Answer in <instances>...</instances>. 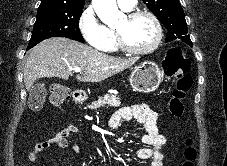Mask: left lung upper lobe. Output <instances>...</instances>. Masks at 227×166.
Wrapping results in <instances>:
<instances>
[{
  "label": "left lung upper lobe",
  "instance_id": "obj_1",
  "mask_svg": "<svg viewBox=\"0 0 227 166\" xmlns=\"http://www.w3.org/2000/svg\"><path fill=\"white\" fill-rule=\"evenodd\" d=\"M143 2L168 30L166 42L180 40L192 46L179 0H143Z\"/></svg>",
  "mask_w": 227,
  "mask_h": 166
}]
</instances>
